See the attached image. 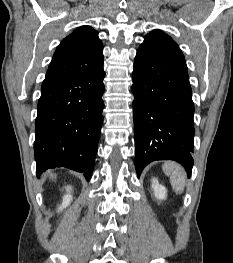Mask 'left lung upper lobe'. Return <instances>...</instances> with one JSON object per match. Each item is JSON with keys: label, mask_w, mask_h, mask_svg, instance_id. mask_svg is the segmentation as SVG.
I'll list each match as a JSON object with an SVG mask.
<instances>
[{"label": "left lung upper lobe", "mask_w": 233, "mask_h": 263, "mask_svg": "<svg viewBox=\"0 0 233 263\" xmlns=\"http://www.w3.org/2000/svg\"><path fill=\"white\" fill-rule=\"evenodd\" d=\"M144 39H159V40H164V41H169V42H174L171 37L163 33L161 30H153L152 32L148 33Z\"/></svg>", "instance_id": "5c2ea615"}]
</instances>
